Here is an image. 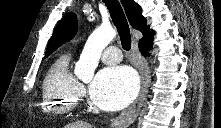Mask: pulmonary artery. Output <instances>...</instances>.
<instances>
[{
  "mask_svg": "<svg viewBox=\"0 0 221 128\" xmlns=\"http://www.w3.org/2000/svg\"><path fill=\"white\" fill-rule=\"evenodd\" d=\"M101 60L107 64H115L120 62L121 60L120 49L116 46L107 47L101 55Z\"/></svg>",
  "mask_w": 221,
  "mask_h": 128,
  "instance_id": "obj_1",
  "label": "pulmonary artery"
}]
</instances>
